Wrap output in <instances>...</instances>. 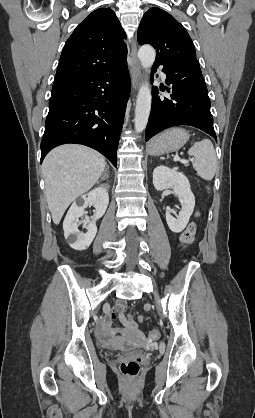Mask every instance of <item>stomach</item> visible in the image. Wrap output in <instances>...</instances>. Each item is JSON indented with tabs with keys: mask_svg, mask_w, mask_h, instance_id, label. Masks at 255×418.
I'll list each match as a JSON object with an SVG mask.
<instances>
[{
	"mask_svg": "<svg viewBox=\"0 0 255 418\" xmlns=\"http://www.w3.org/2000/svg\"><path fill=\"white\" fill-rule=\"evenodd\" d=\"M189 139V133L180 127L168 129L156 137L148 144V152L151 155H162L174 152L182 148Z\"/></svg>",
	"mask_w": 255,
	"mask_h": 418,
	"instance_id": "0dacf381",
	"label": "stomach"
}]
</instances>
